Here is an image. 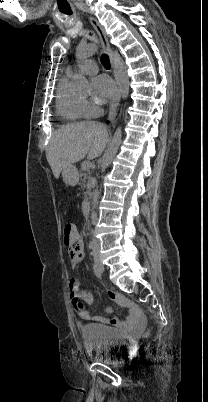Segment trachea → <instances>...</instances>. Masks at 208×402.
<instances>
[{"mask_svg": "<svg viewBox=\"0 0 208 402\" xmlns=\"http://www.w3.org/2000/svg\"><path fill=\"white\" fill-rule=\"evenodd\" d=\"M100 61L102 63V65L106 68V69H110V60L108 58V55L103 53L100 57Z\"/></svg>", "mask_w": 208, "mask_h": 402, "instance_id": "obj_1", "label": "trachea"}]
</instances>
